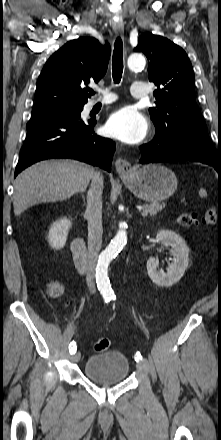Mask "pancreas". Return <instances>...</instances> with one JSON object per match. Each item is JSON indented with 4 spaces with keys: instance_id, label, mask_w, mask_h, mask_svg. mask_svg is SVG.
<instances>
[{
    "instance_id": "obj_1",
    "label": "pancreas",
    "mask_w": 221,
    "mask_h": 440,
    "mask_svg": "<svg viewBox=\"0 0 221 440\" xmlns=\"http://www.w3.org/2000/svg\"><path fill=\"white\" fill-rule=\"evenodd\" d=\"M166 206L165 203L154 202L152 204H144L142 208L147 211L150 216H155L159 211H161Z\"/></svg>"
}]
</instances>
